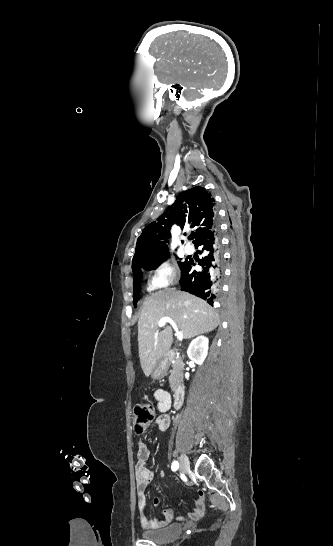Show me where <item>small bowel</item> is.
Returning <instances> with one entry per match:
<instances>
[{"instance_id":"small-bowel-1","label":"small bowel","mask_w":333,"mask_h":546,"mask_svg":"<svg viewBox=\"0 0 333 546\" xmlns=\"http://www.w3.org/2000/svg\"><path fill=\"white\" fill-rule=\"evenodd\" d=\"M154 397L157 401V409L159 415L156 419V425L161 431H165L170 425V417L166 413L171 406V397L163 389H158L154 393ZM150 452L147 445L144 442H139L137 452V463L135 466L136 477V490H137V503H138V515L141 526L144 529H158L168 525L174 516L172 509H165L163 516L160 519H148L145 510V491L154 479V473L147 468V461L149 459ZM204 500L205 496L202 491H198L195 506L189 513V518L196 520L199 519L204 513ZM161 498L156 496L154 503L160 504ZM182 518V517H180Z\"/></svg>"}]
</instances>
